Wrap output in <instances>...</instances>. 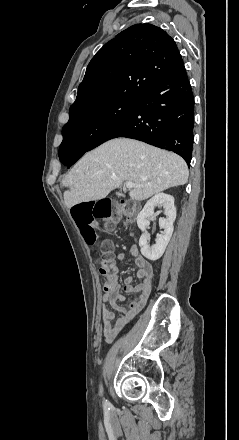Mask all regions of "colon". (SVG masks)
<instances>
[{
  "label": "colon",
  "instance_id": "1",
  "mask_svg": "<svg viewBox=\"0 0 239 440\" xmlns=\"http://www.w3.org/2000/svg\"><path fill=\"white\" fill-rule=\"evenodd\" d=\"M137 210L138 206L133 202L124 201L113 204L108 199H101L97 202L75 205L72 209V216L84 240L88 244H94L97 240L95 228L97 219L106 221L107 228L112 229L119 222L133 217ZM98 263L100 273L107 279L112 280L117 275L118 267L109 244L104 245Z\"/></svg>",
  "mask_w": 239,
  "mask_h": 440
}]
</instances>
